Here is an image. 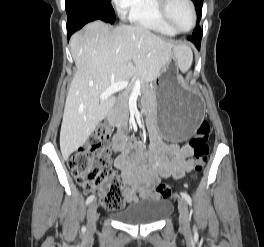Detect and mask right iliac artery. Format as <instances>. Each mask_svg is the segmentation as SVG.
<instances>
[{"label":"right iliac artery","mask_w":264,"mask_h":247,"mask_svg":"<svg viewBox=\"0 0 264 247\" xmlns=\"http://www.w3.org/2000/svg\"><path fill=\"white\" fill-rule=\"evenodd\" d=\"M95 199L94 195H90L87 200H86V204H90L93 200ZM82 231H85V227L82 228Z\"/></svg>","instance_id":"82829eb1"}]
</instances>
